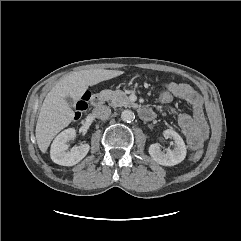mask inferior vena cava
I'll list each match as a JSON object with an SVG mask.
<instances>
[{
    "mask_svg": "<svg viewBox=\"0 0 241 241\" xmlns=\"http://www.w3.org/2000/svg\"><path fill=\"white\" fill-rule=\"evenodd\" d=\"M93 113L95 117L105 120L108 119L111 115V109L108 106L103 105L95 108Z\"/></svg>",
    "mask_w": 241,
    "mask_h": 241,
    "instance_id": "1",
    "label": "inferior vena cava"
}]
</instances>
